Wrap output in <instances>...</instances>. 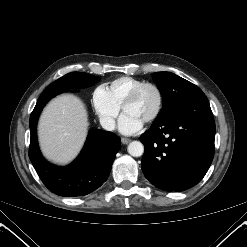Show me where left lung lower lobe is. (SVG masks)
I'll list each match as a JSON object with an SVG mask.
<instances>
[{
	"instance_id": "obj_1",
	"label": "left lung lower lobe",
	"mask_w": 247,
	"mask_h": 247,
	"mask_svg": "<svg viewBox=\"0 0 247 247\" xmlns=\"http://www.w3.org/2000/svg\"><path fill=\"white\" fill-rule=\"evenodd\" d=\"M215 123L207 98L186 102L170 116L156 118L140 137L145 177L166 191H184L208 171L214 156Z\"/></svg>"
}]
</instances>
